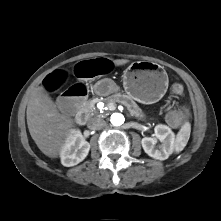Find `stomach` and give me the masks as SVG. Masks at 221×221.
<instances>
[{
  "instance_id": "0dacf381",
  "label": "stomach",
  "mask_w": 221,
  "mask_h": 221,
  "mask_svg": "<svg viewBox=\"0 0 221 221\" xmlns=\"http://www.w3.org/2000/svg\"><path fill=\"white\" fill-rule=\"evenodd\" d=\"M122 77L128 96L143 104L159 101L166 93L169 83L164 68L150 61L131 63Z\"/></svg>"
}]
</instances>
